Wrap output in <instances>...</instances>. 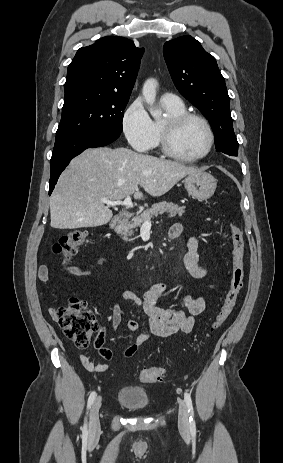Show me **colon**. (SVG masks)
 <instances>
[{
    "label": "colon",
    "mask_w": 283,
    "mask_h": 463,
    "mask_svg": "<svg viewBox=\"0 0 283 463\" xmlns=\"http://www.w3.org/2000/svg\"><path fill=\"white\" fill-rule=\"evenodd\" d=\"M229 230L233 243L231 278L221 308L209 330L210 334L216 332L229 318L244 285V236L240 228L233 223L229 225ZM88 235L89 233L86 230H74L58 239L53 249L64 265L77 253L78 248L87 241ZM55 317L65 334L79 347H86L93 336L100 331L96 316L78 298H71L65 306L56 311ZM102 344L103 332H100L95 339L94 345L101 356L109 359L111 353ZM129 352H134V349ZM163 377L164 370L160 367L146 368L139 373V379L144 383L160 382Z\"/></svg>",
    "instance_id": "5ec220e1"
}]
</instances>
